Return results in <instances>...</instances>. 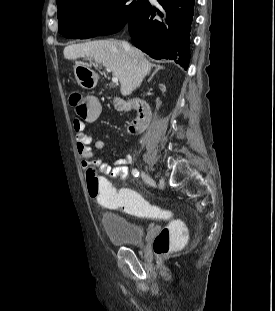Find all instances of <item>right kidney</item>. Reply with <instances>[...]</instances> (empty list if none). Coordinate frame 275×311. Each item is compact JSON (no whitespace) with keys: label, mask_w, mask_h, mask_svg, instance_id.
Masks as SVG:
<instances>
[{"label":"right kidney","mask_w":275,"mask_h":311,"mask_svg":"<svg viewBox=\"0 0 275 311\" xmlns=\"http://www.w3.org/2000/svg\"><path fill=\"white\" fill-rule=\"evenodd\" d=\"M159 89L160 90H155L154 92H153V95L155 96V97H165L164 95H163V91L166 89V86L164 85V84H161L160 86H159Z\"/></svg>","instance_id":"1"}]
</instances>
